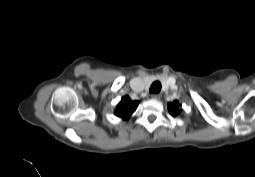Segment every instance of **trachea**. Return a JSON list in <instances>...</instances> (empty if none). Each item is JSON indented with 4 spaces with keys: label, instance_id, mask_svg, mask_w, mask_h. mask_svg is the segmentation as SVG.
<instances>
[{
    "label": "trachea",
    "instance_id": "trachea-1",
    "mask_svg": "<svg viewBox=\"0 0 255 177\" xmlns=\"http://www.w3.org/2000/svg\"><path fill=\"white\" fill-rule=\"evenodd\" d=\"M160 90H161V83L159 81H155L152 83L149 91L150 93L157 94L160 92Z\"/></svg>",
    "mask_w": 255,
    "mask_h": 177
}]
</instances>
